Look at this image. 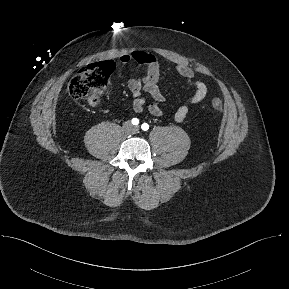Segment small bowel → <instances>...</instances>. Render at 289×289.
<instances>
[{
  "instance_id": "obj_1",
  "label": "small bowel",
  "mask_w": 289,
  "mask_h": 289,
  "mask_svg": "<svg viewBox=\"0 0 289 289\" xmlns=\"http://www.w3.org/2000/svg\"><path fill=\"white\" fill-rule=\"evenodd\" d=\"M123 65L136 63L146 67V75L140 79H129L127 87L133 95V111L137 114L148 109L153 116L160 117L163 115L161 104L166 102L167 94L162 91L159 82L164 74H175L180 77L188 86L194 88V93L187 103L178 107L174 113L176 122H182L188 116L192 106L202 102L207 93V85L195 78L194 71L188 66H173L171 64H162L156 56L144 51H134L123 54L120 59ZM143 93L148 94L153 101L146 105V98Z\"/></svg>"
}]
</instances>
